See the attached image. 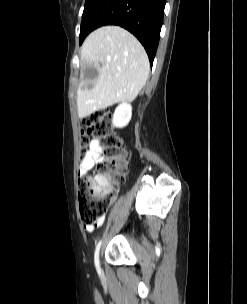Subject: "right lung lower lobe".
<instances>
[{
  "label": "right lung lower lobe",
  "mask_w": 247,
  "mask_h": 304,
  "mask_svg": "<svg viewBox=\"0 0 247 304\" xmlns=\"http://www.w3.org/2000/svg\"><path fill=\"white\" fill-rule=\"evenodd\" d=\"M166 0H99L91 12L82 20L80 37L104 25H119L132 34L144 46L150 64L156 54Z\"/></svg>",
  "instance_id": "right-lung-lower-lobe-1"
}]
</instances>
